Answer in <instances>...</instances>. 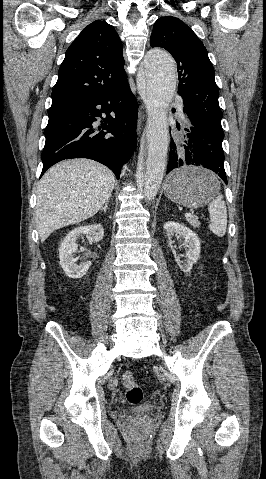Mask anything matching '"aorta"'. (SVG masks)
<instances>
[{"label":"aorta","mask_w":266,"mask_h":479,"mask_svg":"<svg viewBox=\"0 0 266 479\" xmlns=\"http://www.w3.org/2000/svg\"><path fill=\"white\" fill-rule=\"evenodd\" d=\"M138 89L148 112L147 153L142 182L145 197L151 201L158 193L167 165V112L176 89L174 61L166 51L153 49L146 54Z\"/></svg>","instance_id":"aorta-1"}]
</instances>
